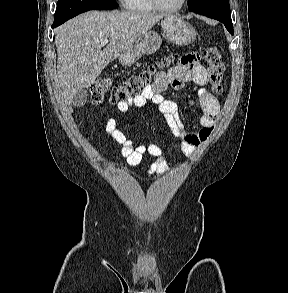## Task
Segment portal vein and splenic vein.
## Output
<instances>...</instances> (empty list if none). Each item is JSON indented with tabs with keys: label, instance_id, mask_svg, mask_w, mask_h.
Segmentation results:
<instances>
[{
	"label": "portal vein and splenic vein",
	"instance_id": "obj_1",
	"mask_svg": "<svg viewBox=\"0 0 288 293\" xmlns=\"http://www.w3.org/2000/svg\"><path fill=\"white\" fill-rule=\"evenodd\" d=\"M108 42H109L108 39L101 40V46H104V45L108 44Z\"/></svg>",
	"mask_w": 288,
	"mask_h": 293
}]
</instances>
